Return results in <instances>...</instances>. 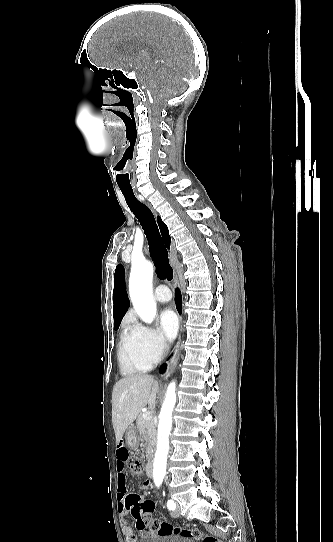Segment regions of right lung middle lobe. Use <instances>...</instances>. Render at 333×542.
<instances>
[{"label":"right lung middle lobe","mask_w":333,"mask_h":542,"mask_svg":"<svg viewBox=\"0 0 333 542\" xmlns=\"http://www.w3.org/2000/svg\"><path fill=\"white\" fill-rule=\"evenodd\" d=\"M118 327H119V326H116V327H114V328H115V330H117V329H118Z\"/></svg>","instance_id":"dd1d6c3e"}]
</instances>
